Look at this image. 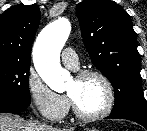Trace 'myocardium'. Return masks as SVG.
I'll use <instances>...</instances> for the list:
<instances>
[{
    "label": "myocardium",
    "mask_w": 147,
    "mask_h": 131,
    "mask_svg": "<svg viewBox=\"0 0 147 131\" xmlns=\"http://www.w3.org/2000/svg\"><path fill=\"white\" fill-rule=\"evenodd\" d=\"M88 77H97L98 79H100L102 81V83L105 86L106 93H107V100H106V104L103 107V109H101L100 111L93 113V114L83 113L78 108V106H77L76 102L74 101V99L72 98V96L69 95L68 93H67V95L70 100L73 113L75 114V116L77 118H79L80 120H83V121H95V120L102 119L111 113V111L114 107V104H115V99H116L115 90H114L113 84H112L111 80L108 78V76L99 70L87 69V70L80 71L75 76V78L78 80L85 79Z\"/></svg>",
    "instance_id": "f54148a6"
}]
</instances>
